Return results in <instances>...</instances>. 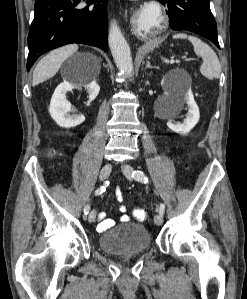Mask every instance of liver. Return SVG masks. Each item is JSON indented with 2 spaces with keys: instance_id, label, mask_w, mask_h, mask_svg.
Here are the masks:
<instances>
[{
  "instance_id": "obj_1",
  "label": "liver",
  "mask_w": 247,
  "mask_h": 299,
  "mask_svg": "<svg viewBox=\"0 0 247 299\" xmlns=\"http://www.w3.org/2000/svg\"><path fill=\"white\" fill-rule=\"evenodd\" d=\"M78 50V45L70 44L49 52L36 65L33 71L32 85L36 86L52 78L60 69L62 63Z\"/></svg>"
}]
</instances>
